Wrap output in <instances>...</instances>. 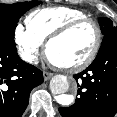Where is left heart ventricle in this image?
Masks as SVG:
<instances>
[{
	"label": "left heart ventricle",
	"instance_id": "obj_1",
	"mask_svg": "<svg viewBox=\"0 0 117 117\" xmlns=\"http://www.w3.org/2000/svg\"><path fill=\"white\" fill-rule=\"evenodd\" d=\"M95 40V28L91 24L81 25L50 46L49 58L61 66L76 64L90 54Z\"/></svg>",
	"mask_w": 117,
	"mask_h": 117
}]
</instances>
